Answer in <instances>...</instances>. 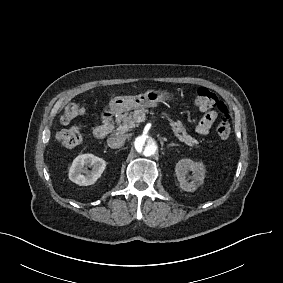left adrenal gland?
Returning <instances> with one entry per match:
<instances>
[{
	"label": "left adrenal gland",
	"mask_w": 283,
	"mask_h": 283,
	"mask_svg": "<svg viewBox=\"0 0 283 283\" xmlns=\"http://www.w3.org/2000/svg\"><path fill=\"white\" fill-rule=\"evenodd\" d=\"M171 146H179V144H175V143L168 144V147H171Z\"/></svg>",
	"instance_id": "1"
}]
</instances>
